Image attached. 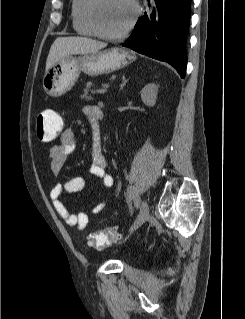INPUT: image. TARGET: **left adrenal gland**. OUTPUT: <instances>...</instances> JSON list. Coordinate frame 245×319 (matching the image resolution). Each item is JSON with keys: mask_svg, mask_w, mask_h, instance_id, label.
<instances>
[{"mask_svg": "<svg viewBox=\"0 0 245 319\" xmlns=\"http://www.w3.org/2000/svg\"><path fill=\"white\" fill-rule=\"evenodd\" d=\"M128 80H126L125 75L122 76V83L120 84V90L123 89Z\"/></svg>", "mask_w": 245, "mask_h": 319, "instance_id": "obj_1", "label": "left adrenal gland"}]
</instances>
